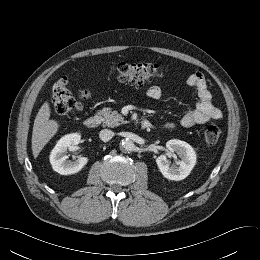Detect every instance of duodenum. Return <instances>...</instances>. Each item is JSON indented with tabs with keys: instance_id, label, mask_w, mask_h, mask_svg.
I'll return each instance as SVG.
<instances>
[{
	"instance_id": "duodenum-1",
	"label": "duodenum",
	"mask_w": 260,
	"mask_h": 260,
	"mask_svg": "<svg viewBox=\"0 0 260 260\" xmlns=\"http://www.w3.org/2000/svg\"><path fill=\"white\" fill-rule=\"evenodd\" d=\"M98 125V119L94 116L88 117L84 120V126L88 129H93ZM143 130L150 129L152 124L149 120H143L140 124Z\"/></svg>"
}]
</instances>
